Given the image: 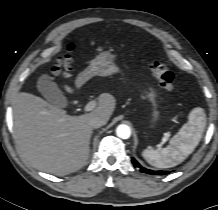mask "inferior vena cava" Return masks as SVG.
<instances>
[{"instance_id":"602c4592","label":"inferior vena cava","mask_w":218,"mask_h":210,"mask_svg":"<svg viewBox=\"0 0 218 210\" xmlns=\"http://www.w3.org/2000/svg\"><path fill=\"white\" fill-rule=\"evenodd\" d=\"M107 123V120L100 117H93L89 120L88 124L91 128H99Z\"/></svg>"}]
</instances>
